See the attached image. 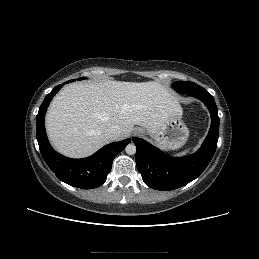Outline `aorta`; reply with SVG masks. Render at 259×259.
I'll use <instances>...</instances> for the list:
<instances>
[{"mask_svg":"<svg viewBox=\"0 0 259 259\" xmlns=\"http://www.w3.org/2000/svg\"><path fill=\"white\" fill-rule=\"evenodd\" d=\"M125 151L129 155H134L136 153V146L134 143H130L126 146Z\"/></svg>","mask_w":259,"mask_h":259,"instance_id":"762f6f07","label":"aorta"}]
</instances>
